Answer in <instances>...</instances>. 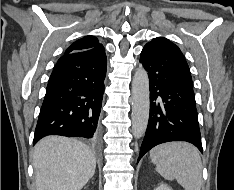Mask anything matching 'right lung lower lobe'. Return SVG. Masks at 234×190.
I'll list each match as a JSON object with an SVG mask.
<instances>
[{
	"mask_svg": "<svg viewBox=\"0 0 234 190\" xmlns=\"http://www.w3.org/2000/svg\"><path fill=\"white\" fill-rule=\"evenodd\" d=\"M105 49L62 56L49 79L34 141L47 135L81 137L95 142L106 76Z\"/></svg>",
	"mask_w": 234,
	"mask_h": 190,
	"instance_id": "right-lung-lower-lobe-1",
	"label": "right lung lower lobe"
}]
</instances>
